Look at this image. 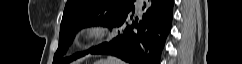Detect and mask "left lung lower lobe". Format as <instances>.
Returning a JSON list of instances; mask_svg holds the SVG:
<instances>
[{
    "mask_svg": "<svg viewBox=\"0 0 242 64\" xmlns=\"http://www.w3.org/2000/svg\"><path fill=\"white\" fill-rule=\"evenodd\" d=\"M174 0H147L141 19L133 18L134 4L114 26L124 31L110 42H105L89 52L112 55L131 64H159L173 18Z\"/></svg>",
    "mask_w": 242,
    "mask_h": 64,
    "instance_id": "0a47b994",
    "label": "left lung lower lobe"
}]
</instances>
